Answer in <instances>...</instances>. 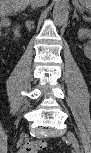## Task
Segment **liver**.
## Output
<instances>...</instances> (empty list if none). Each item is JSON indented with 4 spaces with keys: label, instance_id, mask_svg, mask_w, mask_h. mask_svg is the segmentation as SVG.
I'll return each instance as SVG.
<instances>
[{
    "label": "liver",
    "instance_id": "obj_1",
    "mask_svg": "<svg viewBox=\"0 0 91 153\" xmlns=\"http://www.w3.org/2000/svg\"><path fill=\"white\" fill-rule=\"evenodd\" d=\"M1 10L5 13H15L24 10L31 0H1Z\"/></svg>",
    "mask_w": 91,
    "mask_h": 153
}]
</instances>
